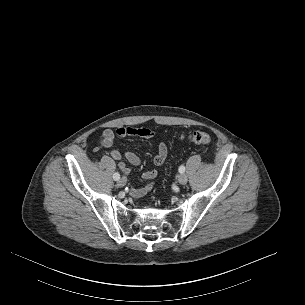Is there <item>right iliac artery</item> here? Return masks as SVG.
Returning a JSON list of instances; mask_svg holds the SVG:
<instances>
[{
    "label": "right iliac artery",
    "mask_w": 305,
    "mask_h": 305,
    "mask_svg": "<svg viewBox=\"0 0 305 305\" xmlns=\"http://www.w3.org/2000/svg\"><path fill=\"white\" fill-rule=\"evenodd\" d=\"M113 178H114V180H119L120 179V174L119 173H114V175H113Z\"/></svg>",
    "instance_id": "obj_1"
}]
</instances>
